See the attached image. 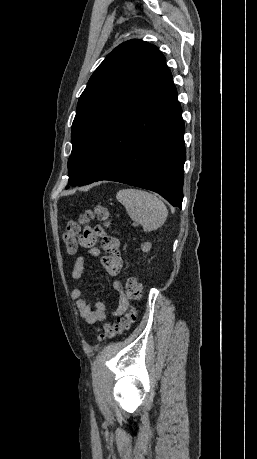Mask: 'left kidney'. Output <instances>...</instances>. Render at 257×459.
<instances>
[{"mask_svg": "<svg viewBox=\"0 0 257 459\" xmlns=\"http://www.w3.org/2000/svg\"><path fill=\"white\" fill-rule=\"evenodd\" d=\"M151 246H152V245H151V243H149V242H146V243L142 244V246H141V247H142V251H143V252H148V251H150Z\"/></svg>", "mask_w": 257, "mask_h": 459, "instance_id": "obj_1", "label": "left kidney"}]
</instances>
